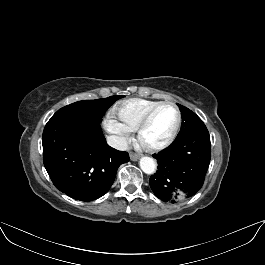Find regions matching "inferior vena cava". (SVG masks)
<instances>
[{
    "instance_id": "obj_1",
    "label": "inferior vena cava",
    "mask_w": 265,
    "mask_h": 265,
    "mask_svg": "<svg viewBox=\"0 0 265 265\" xmlns=\"http://www.w3.org/2000/svg\"><path fill=\"white\" fill-rule=\"evenodd\" d=\"M106 140L109 146L117 150L126 151L128 149V143L123 137L111 135Z\"/></svg>"
}]
</instances>
